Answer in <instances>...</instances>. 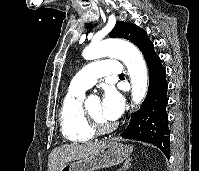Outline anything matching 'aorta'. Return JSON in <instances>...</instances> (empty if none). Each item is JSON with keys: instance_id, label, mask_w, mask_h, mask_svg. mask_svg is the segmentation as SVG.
<instances>
[{"instance_id": "aorta-1", "label": "aorta", "mask_w": 199, "mask_h": 171, "mask_svg": "<svg viewBox=\"0 0 199 171\" xmlns=\"http://www.w3.org/2000/svg\"><path fill=\"white\" fill-rule=\"evenodd\" d=\"M104 56L117 57L124 62L130 75L132 100L135 104L141 103L147 92L148 74L140 51L133 44L118 39H107L99 43H92L83 51V57L87 60Z\"/></svg>"}]
</instances>
